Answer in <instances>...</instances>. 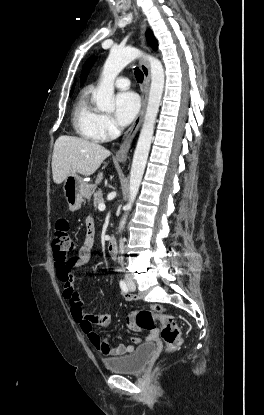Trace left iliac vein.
<instances>
[{
  "instance_id": "left-iliac-vein-1",
  "label": "left iliac vein",
  "mask_w": 264,
  "mask_h": 415,
  "mask_svg": "<svg viewBox=\"0 0 264 415\" xmlns=\"http://www.w3.org/2000/svg\"><path fill=\"white\" fill-rule=\"evenodd\" d=\"M129 290L130 291H135V289H136V286H135V284L134 283H129Z\"/></svg>"
}]
</instances>
